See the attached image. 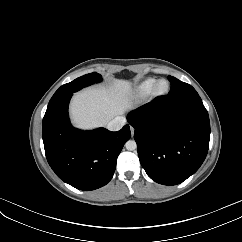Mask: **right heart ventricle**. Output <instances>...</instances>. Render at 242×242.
<instances>
[{
    "label": "right heart ventricle",
    "instance_id": "e07e8e85",
    "mask_svg": "<svg viewBox=\"0 0 242 242\" xmlns=\"http://www.w3.org/2000/svg\"><path fill=\"white\" fill-rule=\"evenodd\" d=\"M155 79L149 78L138 84L134 89V95L139 98H144L151 93Z\"/></svg>",
    "mask_w": 242,
    "mask_h": 242
}]
</instances>
